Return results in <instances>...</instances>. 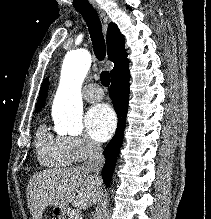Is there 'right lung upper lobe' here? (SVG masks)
<instances>
[{
    "label": "right lung upper lobe",
    "instance_id": "cb5924a9",
    "mask_svg": "<svg viewBox=\"0 0 211 219\" xmlns=\"http://www.w3.org/2000/svg\"><path fill=\"white\" fill-rule=\"evenodd\" d=\"M107 52L108 59L114 63V68L111 70V77L119 71L129 67V60L124 48V36L120 33L116 24L110 23L107 31ZM48 90V78H46L41 86L36 111H39L46 99Z\"/></svg>",
    "mask_w": 211,
    "mask_h": 219
}]
</instances>
